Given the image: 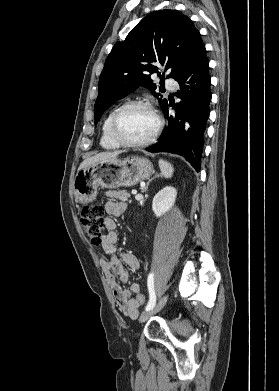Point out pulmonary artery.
<instances>
[{"instance_id": "e3ab8cb5", "label": "pulmonary artery", "mask_w": 279, "mask_h": 391, "mask_svg": "<svg viewBox=\"0 0 279 391\" xmlns=\"http://www.w3.org/2000/svg\"><path fill=\"white\" fill-rule=\"evenodd\" d=\"M166 84L167 86L170 88V89H174L176 87V82L172 79H168L166 81Z\"/></svg>"}]
</instances>
